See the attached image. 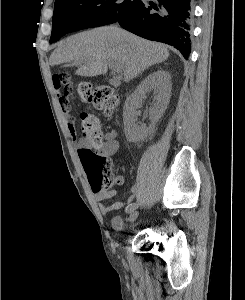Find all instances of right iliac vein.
I'll return each mask as SVG.
<instances>
[{
  "label": "right iliac vein",
  "instance_id": "1",
  "mask_svg": "<svg viewBox=\"0 0 245 300\" xmlns=\"http://www.w3.org/2000/svg\"><path fill=\"white\" fill-rule=\"evenodd\" d=\"M138 215H139V211L137 210V207H136L134 210H132L130 212L129 221L134 222L137 219Z\"/></svg>",
  "mask_w": 245,
  "mask_h": 300
}]
</instances>
